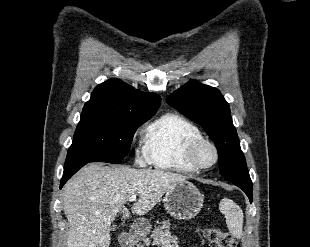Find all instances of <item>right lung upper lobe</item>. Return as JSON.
Masks as SVG:
<instances>
[{
  "label": "right lung upper lobe",
  "mask_w": 310,
  "mask_h": 247,
  "mask_svg": "<svg viewBox=\"0 0 310 247\" xmlns=\"http://www.w3.org/2000/svg\"><path fill=\"white\" fill-rule=\"evenodd\" d=\"M161 98L153 93H143L128 84L114 79L97 86L82 114H108L126 117L153 116Z\"/></svg>",
  "instance_id": "right-lung-upper-lobe-1"
}]
</instances>
